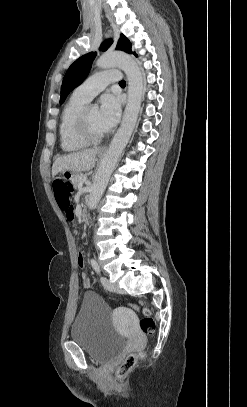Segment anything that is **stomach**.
<instances>
[{"label": "stomach", "mask_w": 247, "mask_h": 407, "mask_svg": "<svg viewBox=\"0 0 247 407\" xmlns=\"http://www.w3.org/2000/svg\"><path fill=\"white\" fill-rule=\"evenodd\" d=\"M60 176L61 178H69V180L73 181L74 178H78L79 171L78 169H71L68 167L66 169H61Z\"/></svg>", "instance_id": "0dacf381"}]
</instances>
